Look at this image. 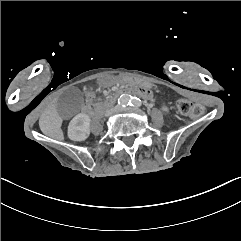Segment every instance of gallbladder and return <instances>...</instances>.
<instances>
[{
	"instance_id": "obj_1",
	"label": "gallbladder",
	"mask_w": 241,
	"mask_h": 241,
	"mask_svg": "<svg viewBox=\"0 0 241 241\" xmlns=\"http://www.w3.org/2000/svg\"><path fill=\"white\" fill-rule=\"evenodd\" d=\"M83 95L75 87L66 89L58 102V114L63 119L75 116L82 109Z\"/></svg>"
}]
</instances>
